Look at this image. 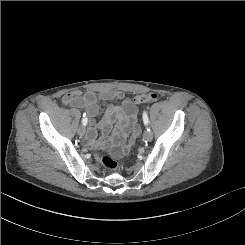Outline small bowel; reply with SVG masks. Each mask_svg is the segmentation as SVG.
Masks as SVG:
<instances>
[{
    "label": "small bowel",
    "instance_id": "obj_1",
    "mask_svg": "<svg viewBox=\"0 0 245 245\" xmlns=\"http://www.w3.org/2000/svg\"><path fill=\"white\" fill-rule=\"evenodd\" d=\"M78 97L76 100L75 98ZM98 100H118L119 104H111L107 107L102 119L95 123L93 118L99 113ZM67 105L82 104L87 109L92 119L88 133V144L94 145L97 137V130L107 133L112 124H115L111 136V143L116 147V152H126L140 135V127L137 124L138 110L136 106L120 90H106L98 94L87 91L83 95L79 92L69 93L63 97Z\"/></svg>",
    "mask_w": 245,
    "mask_h": 245
}]
</instances>
